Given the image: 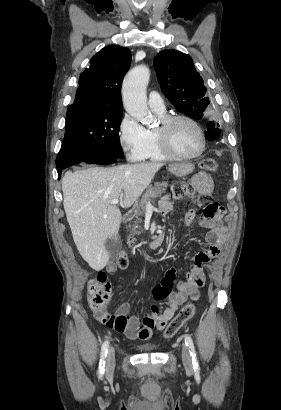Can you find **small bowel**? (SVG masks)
<instances>
[{
	"mask_svg": "<svg viewBox=\"0 0 281 410\" xmlns=\"http://www.w3.org/2000/svg\"><path fill=\"white\" fill-rule=\"evenodd\" d=\"M193 187L200 195H211L213 191V181L211 177L203 172H199L193 177ZM171 195H165L159 202L160 212L164 215L168 214L173 205ZM185 219L189 224L196 220V214L193 209H189L185 215ZM199 224L209 229L206 235L207 246L201 250L194 258L193 266L184 281H179L176 284V289L173 290L177 268L172 267L165 272L162 280L153 288L152 295L156 301H167L168 306L160 313L157 305H152L148 314L139 321L137 318L128 314L129 305L123 303L119 306L116 316L126 318L127 324L125 328L116 330L123 333L128 339L148 340L152 337L154 331H161L166 323L173 318L179 307L187 300L188 297H196L199 289L205 284V275L203 266L212 258L220 255L223 243L226 238V229L222 224V216L201 218ZM109 273L117 270L114 263H109L106 266Z\"/></svg>",
	"mask_w": 281,
	"mask_h": 410,
	"instance_id": "c3829d8e",
	"label": "small bowel"
}]
</instances>
